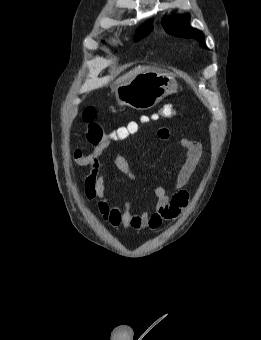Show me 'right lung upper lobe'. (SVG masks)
Segmentation results:
<instances>
[{
    "label": "right lung upper lobe",
    "mask_w": 261,
    "mask_h": 340,
    "mask_svg": "<svg viewBox=\"0 0 261 340\" xmlns=\"http://www.w3.org/2000/svg\"><path fill=\"white\" fill-rule=\"evenodd\" d=\"M147 23H152V20H150V21H149V22H147ZM147 23H146V24H147Z\"/></svg>",
    "instance_id": "right-lung-upper-lobe-1"
}]
</instances>
